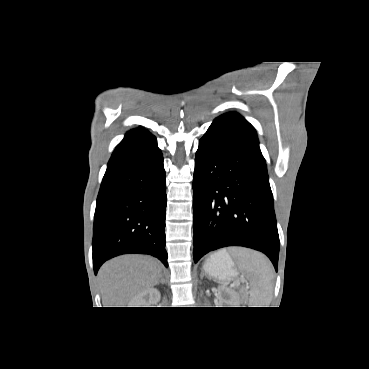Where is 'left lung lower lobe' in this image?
Masks as SVG:
<instances>
[{
    "label": "left lung lower lobe",
    "mask_w": 369,
    "mask_h": 369,
    "mask_svg": "<svg viewBox=\"0 0 369 369\" xmlns=\"http://www.w3.org/2000/svg\"><path fill=\"white\" fill-rule=\"evenodd\" d=\"M194 262L244 246L278 269L279 235L265 159L254 127L238 113L216 118L199 141L193 180Z\"/></svg>",
    "instance_id": "0a47b994"
}]
</instances>
